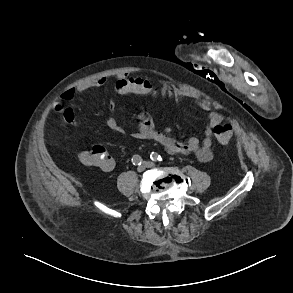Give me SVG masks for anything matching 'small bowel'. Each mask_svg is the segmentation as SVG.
<instances>
[{"instance_id": "small-bowel-1", "label": "small bowel", "mask_w": 293, "mask_h": 293, "mask_svg": "<svg viewBox=\"0 0 293 293\" xmlns=\"http://www.w3.org/2000/svg\"><path fill=\"white\" fill-rule=\"evenodd\" d=\"M105 85V79L98 78L92 81L83 82L77 86L67 89L61 96L64 102L71 101L75 96L89 90L91 88L102 87ZM159 89L164 95L169 96L176 102L183 98L195 100V96L183 89H179L166 81L159 82ZM114 91L117 95L123 96L131 93L155 95L158 88L152 85L147 79L141 77H129L126 74L120 75L115 82ZM200 108L208 112V124L204 131V136L201 140L191 137L186 141H177L169 134L168 129L159 130L155 127L153 118L148 113H142L137 119V131L134 133V138L138 140H148L159 144L166 152L171 154L194 155L200 162L207 163L213 159L212 151V135L215 126L219 125L223 118L221 114L210 111L209 106L204 102H198ZM115 107L112 101L108 108V115L105 117V123L109 129L116 133H124L122 125L112 116V111ZM53 109L56 112L62 113L65 121L70 125H75V114L72 108L65 107L62 102H55ZM115 166L112 159L108 168L104 171H111Z\"/></svg>"}]
</instances>
